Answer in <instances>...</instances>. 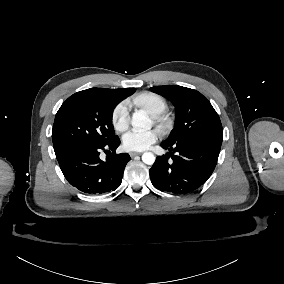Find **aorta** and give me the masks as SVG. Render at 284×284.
Segmentation results:
<instances>
[{
  "instance_id": "aorta-1",
  "label": "aorta",
  "mask_w": 284,
  "mask_h": 284,
  "mask_svg": "<svg viewBox=\"0 0 284 284\" xmlns=\"http://www.w3.org/2000/svg\"><path fill=\"white\" fill-rule=\"evenodd\" d=\"M131 124L134 127L139 128H150L151 127V121L149 117L145 114L144 111H137L133 114L131 119ZM155 156L151 152H145L142 155V161L147 165H153L155 162Z\"/></svg>"
}]
</instances>
